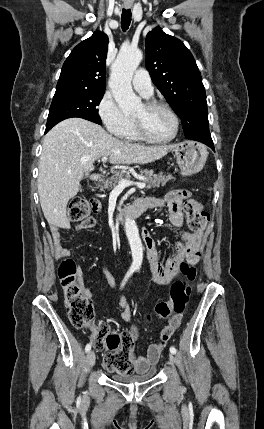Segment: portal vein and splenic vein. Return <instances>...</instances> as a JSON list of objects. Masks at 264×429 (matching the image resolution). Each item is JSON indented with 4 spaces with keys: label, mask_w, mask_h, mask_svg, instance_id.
<instances>
[{
    "label": "portal vein and splenic vein",
    "mask_w": 264,
    "mask_h": 429,
    "mask_svg": "<svg viewBox=\"0 0 264 429\" xmlns=\"http://www.w3.org/2000/svg\"><path fill=\"white\" fill-rule=\"evenodd\" d=\"M107 158L108 157H106V156H104V157H102V161H106L107 160ZM119 186L120 187H122V188H125V187H128V186H136L137 188H145L146 187V183H144V182H132V181H129V180H127V179H124V178H121L120 179V181H119Z\"/></svg>",
    "instance_id": "1"
}]
</instances>
